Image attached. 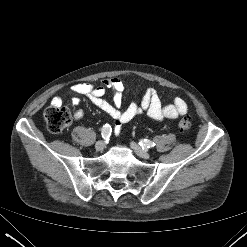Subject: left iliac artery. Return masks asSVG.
Returning a JSON list of instances; mask_svg holds the SVG:
<instances>
[{
    "mask_svg": "<svg viewBox=\"0 0 247 247\" xmlns=\"http://www.w3.org/2000/svg\"><path fill=\"white\" fill-rule=\"evenodd\" d=\"M139 145L142 147V149H147L154 147L155 143L147 139H142L140 140Z\"/></svg>",
    "mask_w": 247,
    "mask_h": 247,
    "instance_id": "left-iliac-artery-1",
    "label": "left iliac artery"
}]
</instances>
